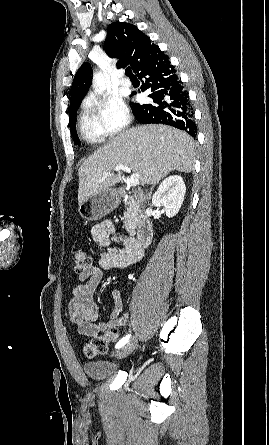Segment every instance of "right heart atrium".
Wrapping results in <instances>:
<instances>
[{
	"label": "right heart atrium",
	"mask_w": 269,
	"mask_h": 445,
	"mask_svg": "<svg viewBox=\"0 0 269 445\" xmlns=\"http://www.w3.org/2000/svg\"><path fill=\"white\" fill-rule=\"evenodd\" d=\"M87 108L110 135L123 131L131 120L127 105L117 96L93 94L87 99Z\"/></svg>",
	"instance_id": "d8ad5b80"
}]
</instances>
